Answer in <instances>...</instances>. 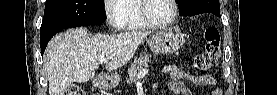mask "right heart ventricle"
<instances>
[{
	"label": "right heart ventricle",
	"mask_w": 277,
	"mask_h": 95,
	"mask_svg": "<svg viewBox=\"0 0 277 95\" xmlns=\"http://www.w3.org/2000/svg\"><path fill=\"white\" fill-rule=\"evenodd\" d=\"M142 0H120L116 3L117 9L120 10V29L122 30H139L148 28L141 15L140 5Z\"/></svg>",
	"instance_id": "e07e8e85"
}]
</instances>
